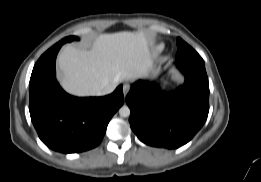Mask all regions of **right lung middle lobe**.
<instances>
[{"label": "right lung middle lobe", "mask_w": 261, "mask_h": 182, "mask_svg": "<svg viewBox=\"0 0 261 182\" xmlns=\"http://www.w3.org/2000/svg\"><path fill=\"white\" fill-rule=\"evenodd\" d=\"M73 40H78V37H76V36L66 37V38L62 39L61 41H59V42L64 44L66 42H71Z\"/></svg>", "instance_id": "right-lung-middle-lobe-1"}]
</instances>
